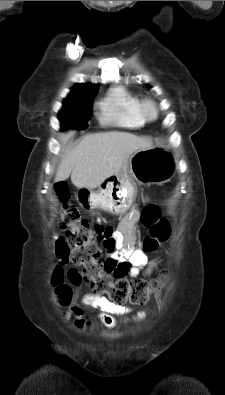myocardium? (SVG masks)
Returning a JSON list of instances; mask_svg holds the SVG:
<instances>
[{
  "label": "myocardium",
  "instance_id": "1",
  "mask_svg": "<svg viewBox=\"0 0 225 395\" xmlns=\"http://www.w3.org/2000/svg\"><path fill=\"white\" fill-rule=\"evenodd\" d=\"M138 112L145 122H153L159 116V108L157 103L151 98L140 99L138 104Z\"/></svg>",
  "mask_w": 225,
  "mask_h": 395
}]
</instances>
